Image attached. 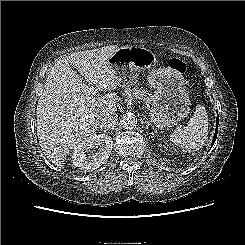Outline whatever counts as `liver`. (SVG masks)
<instances>
[{"label": "liver", "instance_id": "liver-1", "mask_svg": "<svg viewBox=\"0 0 245 245\" xmlns=\"http://www.w3.org/2000/svg\"><path fill=\"white\" fill-rule=\"evenodd\" d=\"M118 49L111 45L61 57L48 74L37 104V136L43 153L56 167H64L69 152L97 130L102 117L117 111L115 93L96 97L88 85L105 92L116 89L108 60Z\"/></svg>", "mask_w": 245, "mask_h": 245}]
</instances>
